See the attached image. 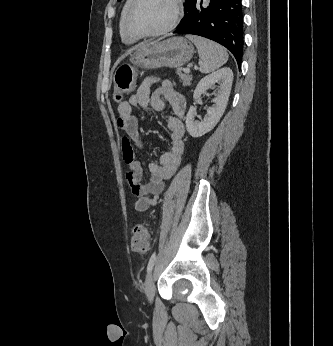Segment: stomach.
<instances>
[{"instance_id":"stomach-1","label":"stomach","mask_w":333,"mask_h":346,"mask_svg":"<svg viewBox=\"0 0 333 346\" xmlns=\"http://www.w3.org/2000/svg\"><path fill=\"white\" fill-rule=\"evenodd\" d=\"M194 53L191 42L183 37H173L141 46L131 55V61L142 69L179 68L188 63Z\"/></svg>"}]
</instances>
